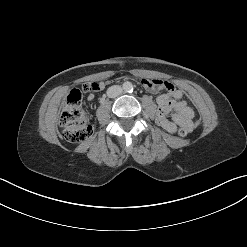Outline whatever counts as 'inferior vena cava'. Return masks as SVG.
Returning <instances> with one entry per match:
<instances>
[{
  "mask_svg": "<svg viewBox=\"0 0 247 247\" xmlns=\"http://www.w3.org/2000/svg\"><path fill=\"white\" fill-rule=\"evenodd\" d=\"M122 87L119 85H113L107 89V96L110 98L118 97L122 94Z\"/></svg>",
  "mask_w": 247,
  "mask_h": 247,
  "instance_id": "inferior-vena-cava-1",
  "label": "inferior vena cava"
}]
</instances>
